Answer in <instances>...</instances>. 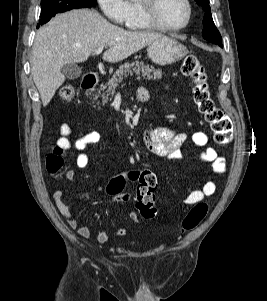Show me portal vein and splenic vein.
<instances>
[{"label": "portal vein and splenic vein", "mask_w": 267, "mask_h": 301, "mask_svg": "<svg viewBox=\"0 0 267 301\" xmlns=\"http://www.w3.org/2000/svg\"><path fill=\"white\" fill-rule=\"evenodd\" d=\"M103 51V48H98L94 51V54L98 55Z\"/></svg>", "instance_id": "18ae733b"}]
</instances>
